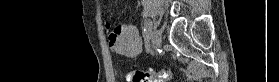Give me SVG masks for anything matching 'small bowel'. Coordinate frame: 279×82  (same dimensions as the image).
I'll use <instances>...</instances> for the list:
<instances>
[{
    "mask_svg": "<svg viewBox=\"0 0 279 82\" xmlns=\"http://www.w3.org/2000/svg\"><path fill=\"white\" fill-rule=\"evenodd\" d=\"M102 25L105 29L111 27L108 22ZM108 43L111 49L120 56L135 57L141 52V39L134 25L114 27L109 33Z\"/></svg>",
    "mask_w": 279,
    "mask_h": 82,
    "instance_id": "1",
    "label": "small bowel"
}]
</instances>
